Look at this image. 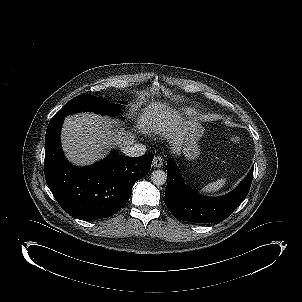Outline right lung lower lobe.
<instances>
[{"label":"right lung lower lobe","instance_id":"obj_1","mask_svg":"<svg viewBox=\"0 0 302 302\" xmlns=\"http://www.w3.org/2000/svg\"><path fill=\"white\" fill-rule=\"evenodd\" d=\"M63 121L51 120L46 132L44 170L49 189L75 218L97 220L114 215L129 200L133 184L150 170L154 154L134 158L112 151L93 166L74 167L61 149Z\"/></svg>","mask_w":302,"mask_h":302}]
</instances>
